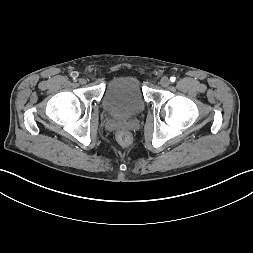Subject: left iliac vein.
Wrapping results in <instances>:
<instances>
[{
  "label": "left iliac vein",
  "mask_w": 253,
  "mask_h": 253,
  "mask_svg": "<svg viewBox=\"0 0 253 253\" xmlns=\"http://www.w3.org/2000/svg\"><path fill=\"white\" fill-rule=\"evenodd\" d=\"M160 85L162 87H168L170 85V80L168 77H162L160 80Z\"/></svg>",
  "instance_id": "4c4485c4"
}]
</instances>
